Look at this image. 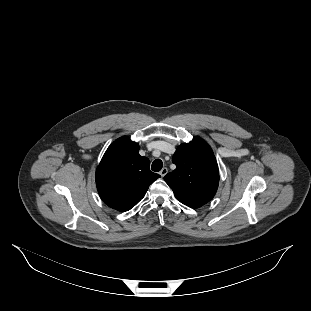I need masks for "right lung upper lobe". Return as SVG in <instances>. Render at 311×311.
Returning a JSON list of instances; mask_svg holds the SVG:
<instances>
[{"instance_id":"obj_1","label":"right lung upper lobe","mask_w":311,"mask_h":311,"mask_svg":"<svg viewBox=\"0 0 311 311\" xmlns=\"http://www.w3.org/2000/svg\"><path fill=\"white\" fill-rule=\"evenodd\" d=\"M159 177L150 171L149 159L140 156L139 145L124 136L105 152L96 170V186L109 207L125 212L145 196Z\"/></svg>"}]
</instances>
